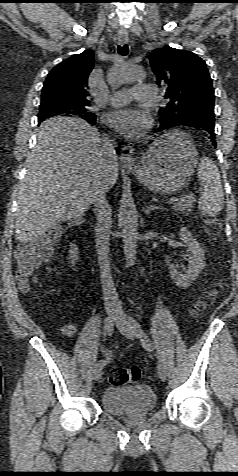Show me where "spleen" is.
I'll use <instances>...</instances> for the list:
<instances>
[{"mask_svg": "<svg viewBox=\"0 0 238 476\" xmlns=\"http://www.w3.org/2000/svg\"><path fill=\"white\" fill-rule=\"evenodd\" d=\"M197 176L203 186L198 202L200 210L210 216L217 215L224 204V194L220 172L216 164L208 157L201 160Z\"/></svg>", "mask_w": 238, "mask_h": 476, "instance_id": "spleen-1", "label": "spleen"}]
</instances>
